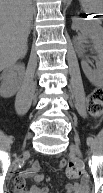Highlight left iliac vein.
<instances>
[{
    "label": "left iliac vein",
    "mask_w": 103,
    "mask_h": 193,
    "mask_svg": "<svg viewBox=\"0 0 103 193\" xmlns=\"http://www.w3.org/2000/svg\"><path fill=\"white\" fill-rule=\"evenodd\" d=\"M70 150H71V152L77 154L78 156L82 155L77 145L72 144L70 146Z\"/></svg>",
    "instance_id": "obj_1"
}]
</instances>
